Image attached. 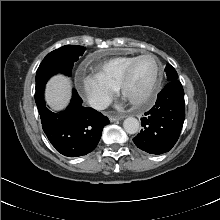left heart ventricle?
<instances>
[{"instance_id":"obj_1","label":"left heart ventricle","mask_w":220,"mask_h":220,"mask_svg":"<svg viewBox=\"0 0 220 220\" xmlns=\"http://www.w3.org/2000/svg\"><path fill=\"white\" fill-rule=\"evenodd\" d=\"M155 74L156 61L153 57L147 56L139 60L133 69L130 82L127 86L126 98H141L153 82Z\"/></svg>"}]
</instances>
